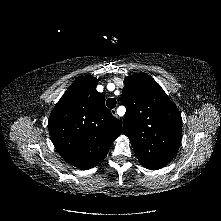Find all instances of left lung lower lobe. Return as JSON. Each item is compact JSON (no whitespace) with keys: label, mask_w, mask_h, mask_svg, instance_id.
I'll list each match as a JSON object with an SVG mask.
<instances>
[{"label":"left lung lower lobe","mask_w":221,"mask_h":221,"mask_svg":"<svg viewBox=\"0 0 221 221\" xmlns=\"http://www.w3.org/2000/svg\"><path fill=\"white\" fill-rule=\"evenodd\" d=\"M144 166V165H143ZM150 170H153V169H160L161 167H153V166H144Z\"/></svg>","instance_id":"1"}]
</instances>
